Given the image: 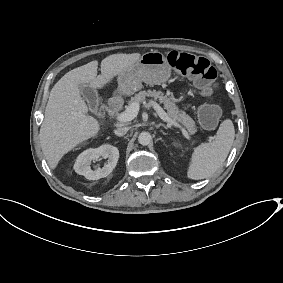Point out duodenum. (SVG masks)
<instances>
[{"label": "duodenum", "instance_id": "duodenum-1", "mask_svg": "<svg viewBox=\"0 0 283 283\" xmlns=\"http://www.w3.org/2000/svg\"><path fill=\"white\" fill-rule=\"evenodd\" d=\"M109 106L111 109L115 110V111H119L120 108L122 107V100L120 98V96H113L110 98L109 101Z\"/></svg>", "mask_w": 283, "mask_h": 283}]
</instances>
